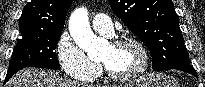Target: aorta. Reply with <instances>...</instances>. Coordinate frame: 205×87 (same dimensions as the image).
Segmentation results:
<instances>
[{
    "label": "aorta",
    "mask_w": 205,
    "mask_h": 87,
    "mask_svg": "<svg viewBox=\"0 0 205 87\" xmlns=\"http://www.w3.org/2000/svg\"><path fill=\"white\" fill-rule=\"evenodd\" d=\"M69 31L74 42L84 51L91 54L99 51L104 40L98 38L91 30L88 11L84 7L77 8L69 19Z\"/></svg>",
    "instance_id": "aorta-1"
}]
</instances>
